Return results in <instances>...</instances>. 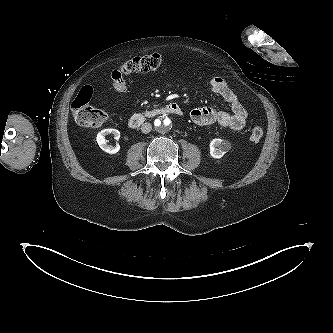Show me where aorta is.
Here are the masks:
<instances>
[{
    "label": "aorta",
    "instance_id": "1",
    "mask_svg": "<svg viewBox=\"0 0 333 333\" xmlns=\"http://www.w3.org/2000/svg\"><path fill=\"white\" fill-rule=\"evenodd\" d=\"M155 129L158 133H166L171 129L170 120L167 117L159 118L155 121Z\"/></svg>",
    "mask_w": 333,
    "mask_h": 333
}]
</instances>
